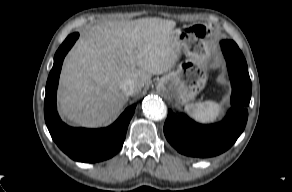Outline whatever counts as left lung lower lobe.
I'll use <instances>...</instances> for the list:
<instances>
[{
	"label": "left lung lower lobe",
	"instance_id": "1",
	"mask_svg": "<svg viewBox=\"0 0 292 192\" xmlns=\"http://www.w3.org/2000/svg\"><path fill=\"white\" fill-rule=\"evenodd\" d=\"M220 44L232 84V108L227 116L219 123L201 125L169 110L164 124L168 142L187 156L204 158L221 154L235 143L247 122L251 81L246 60L235 42L224 40Z\"/></svg>",
	"mask_w": 292,
	"mask_h": 192
}]
</instances>
